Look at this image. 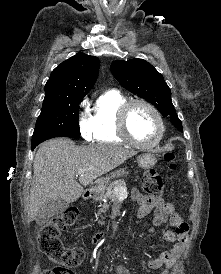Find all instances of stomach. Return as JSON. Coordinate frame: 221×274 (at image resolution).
<instances>
[{
	"label": "stomach",
	"instance_id": "1",
	"mask_svg": "<svg viewBox=\"0 0 221 274\" xmlns=\"http://www.w3.org/2000/svg\"><path fill=\"white\" fill-rule=\"evenodd\" d=\"M137 161L140 167L145 169L150 168L156 163V155L152 152H144L140 156H138ZM124 174H126L124 169H119L113 172L111 177H121ZM101 188L104 189L105 187L102 186Z\"/></svg>",
	"mask_w": 221,
	"mask_h": 274
}]
</instances>
